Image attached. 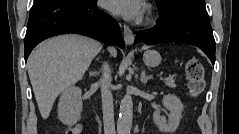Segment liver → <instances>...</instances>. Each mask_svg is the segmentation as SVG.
<instances>
[{
  "label": "liver",
  "mask_w": 239,
  "mask_h": 134,
  "mask_svg": "<svg viewBox=\"0 0 239 134\" xmlns=\"http://www.w3.org/2000/svg\"><path fill=\"white\" fill-rule=\"evenodd\" d=\"M102 44L76 34L61 35L41 43L27 61L29 78L43 119H47L57 96L81 80ZM113 57L115 48L110 49Z\"/></svg>",
  "instance_id": "1"
}]
</instances>
